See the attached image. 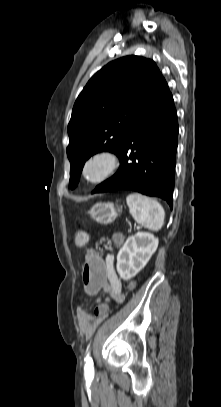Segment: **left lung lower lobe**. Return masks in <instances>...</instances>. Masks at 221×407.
<instances>
[{"instance_id":"1","label":"left lung lower lobe","mask_w":221,"mask_h":407,"mask_svg":"<svg viewBox=\"0 0 221 407\" xmlns=\"http://www.w3.org/2000/svg\"><path fill=\"white\" fill-rule=\"evenodd\" d=\"M178 120L173 96L163 78L126 134L117 173L92 193L133 190L160 197L173 207Z\"/></svg>"}]
</instances>
